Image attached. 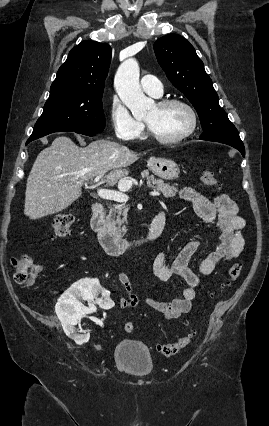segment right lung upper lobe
I'll return each mask as SVG.
<instances>
[{
  "mask_svg": "<svg viewBox=\"0 0 269 426\" xmlns=\"http://www.w3.org/2000/svg\"><path fill=\"white\" fill-rule=\"evenodd\" d=\"M111 61L109 44L83 41L69 52L57 72L50 93L71 92L102 95Z\"/></svg>",
  "mask_w": 269,
  "mask_h": 426,
  "instance_id": "1",
  "label": "right lung upper lobe"
}]
</instances>
